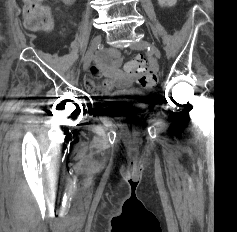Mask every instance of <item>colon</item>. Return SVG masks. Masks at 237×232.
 Returning a JSON list of instances; mask_svg holds the SVG:
<instances>
[{
    "mask_svg": "<svg viewBox=\"0 0 237 232\" xmlns=\"http://www.w3.org/2000/svg\"><path fill=\"white\" fill-rule=\"evenodd\" d=\"M175 0H158L162 8L174 5ZM23 19L25 27L33 32L50 31L53 27V17L43 0H24ZM125 69L136 76L143 87H152L157 81V69L143 56L139 55L129 61Z\"/></svg>",
    "mask_w": 237,
    "mask_h": 232,
    "instance_id": "5ec220e1",
    "label": "colon"
}]
</instances>
